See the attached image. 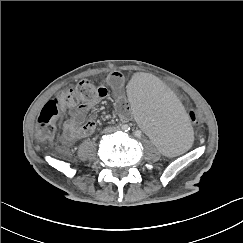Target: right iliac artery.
<instances>
[{"mask_svg": "<svg viewBox=\"0 0 243 243\" xmlns=\"http://www.w3.org/2000/svg\"><path fill=\"white\" fill-rule=\"evenodd\" d=\"M122 129H123V131L127 132L130 130V127L128 125H123Z\"/></svg>", "mask_w": 243, "mask_h": 243, "instance_id": "right-iliac-artery-1", "label": "right iliac artery"}]
</instances>
